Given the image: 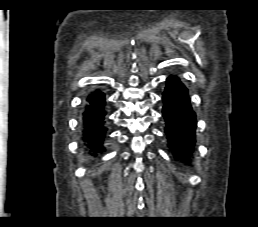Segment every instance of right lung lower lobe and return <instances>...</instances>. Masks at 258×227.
<instances>
[{"mask_svg":"<svg viewBox=\"0 0 258 227\" xmlns=\"http://www.w3.org/2000/svg\"><path fill=\"white\" fill-rule=\"evenodd\" d=\"M105 95L99 90L91 92L86 98L82 114L83 141L91 151L103 152L106 138Z\"/></svg>","mask_w":258,"mask_h":227,"instance_id":"right-lung-lower-lobe-1","label":"right lung lower lobe"}]
</instances>
